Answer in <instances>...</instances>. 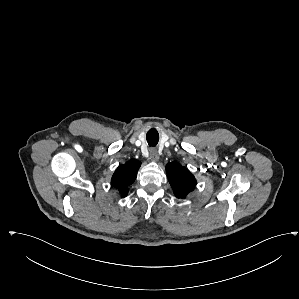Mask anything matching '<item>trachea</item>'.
<instances>
[{
  "mask_svg": "<svg viewBox=\"0 0 299 299\" xmlns=\"http://www.w3.org/2000/svg\"><path fill=\"white\" fill-rule=\"evenodd\" d=\"M159 140V136L158 133L155 129H151L148 133H147V142L149 144V146H156Z\"/></svg>",
  "mask_w": 299,
  "mask_h": 299,
  "instance_id": "1",
  "label": "trachea"
}]
</instances>
